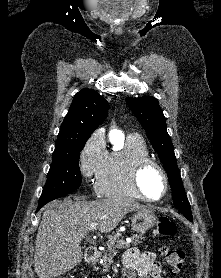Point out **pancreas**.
Listing matches in <instances>:
<instances>
[{
	"instance_id": "pancreas-1",
	"label": "pancreas",
	"mask_w": 221,
	"mask_h": 278,
	"mask_svg": "<svg viewBox=\"0 0 221 278\" xmlns=\"http://www.w3.org/2000/svg\"><path fill=\"white\" fill-rule=\"evenodd\" d=\"M119 236L120 234L116 233L115 235L108 237V241H107L108 249L104 253L102 259V266L105 270H107L109 266L112 264L113 256L118 253L117 249H123L129 247V244H125V245L120 244V241L118 240ZM131 239H132V244L137 245L141 243V240L143 239V235L133 234L131 236Z\"/></svg>"
}]
</instances>
